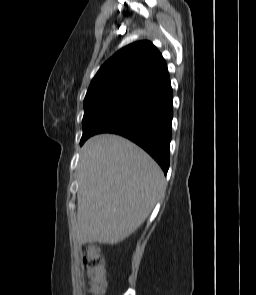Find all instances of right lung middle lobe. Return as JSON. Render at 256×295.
Returning <instances> with one entry per match:
<instances>
[{
    "label": "right lung middle lobe",
    "instance_id": "right-lung-middle-lobe-1",
    "mask_svg": "<svg viewBox=\"0 0 256 295\" xmlns=\"http://www.w3.org/2000/svg\"><path fill=\"white\" fill-rule=\"evenodd\" d=\"M137 95L112 97L88 107L82 120L83 135L81 141L95 134L107 121L122 111Z\"/></svg>",
    "mask_w": 256,
    "mask_h": 295
}]
</instances>
